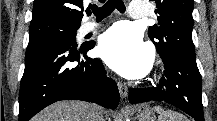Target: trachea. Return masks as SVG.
<instances>
[{
    "label": "trachea",
    "mask_w": 217,
    "mask_h": 121,
    "mask_svg": "<svg viewBox=\"0 0 217 121\" xmlns=\"http://www.w3.org/2000/svg\"><path fill=\"white\" fill-rule=\"evenodd\" d=\"M91 9L97 19H103L109 16L115 9L124 13L125 5L122 0H108L102 7L93 5Z\"/></svg>",
    "instance_id": "1"
}]
</instances>
